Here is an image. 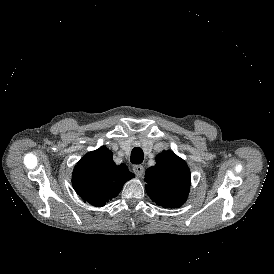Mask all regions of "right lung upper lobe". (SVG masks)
<instances>
[{"instance_id":"1","label":"right lung upper lobe","mask_w":274,"mask_h":274,"mask_svg":"<svg viewBox=\"0 0 274 274\" xmlns=\"http://www.w3.org/2000/svg\"><path fill=\"white\" fill-rule=\"evenodd\" d=\"M134 176L125 164L116 165L112 152L102 146L87 153L77 163L72 175V184L85 202L101 207L116 197L124 183Z\"/></svg>"}]
</instances>
